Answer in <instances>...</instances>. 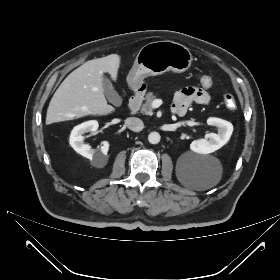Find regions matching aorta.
Wrapping results in <instances>:
<instances>
[{
	"mask_svg": "<svg viewBox=\"0 0 280 280\" xmlns=\"http://www.w3.org/2000/svg\"><path fill=\"white\" fill-rule=\"evenodd\" d=\"M160 139H161V136L158 132H151L149 135H148V141L151 143V144H157L160 142Z\"/></svg>",
	"mask_w": 280,
	"mask_h": 280,
	"instance_id": "obj_1",
	"label": "aorta"
}]
</instances>
